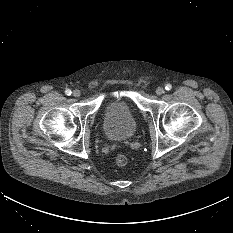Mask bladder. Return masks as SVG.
<instances>
[{
	"label": "bladder",
	"mask_w": 233,
	"mask_h": 233,
	"mask_svg": "<svg viewBox=\"0 0 233 233\" xmlns=\"http://www.w3.org/2000/svg\"><path fill=\"white\" fill-rule=\"evenodd\" d=\"M102 127L105 135L116 141L127 140L135 134L137 122L126 99L117 98L107 102Z\"/></svg>",
	"instance_id": "obj_1"
}]
</instances>
